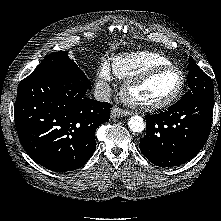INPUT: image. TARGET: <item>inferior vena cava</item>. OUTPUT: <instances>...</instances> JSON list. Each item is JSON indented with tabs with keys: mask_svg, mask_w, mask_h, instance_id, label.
Listing matches in <instances>:
<instances>
[{
	"mask_svg": "<svg viewBox=\"0 0 221 221\" xmlns=\"http://www.w3.org/2000/svg\"><path fill=\"white\" fill-rule=\"evenodd\" d=\"M111 88L107 83H101L94 90V97L97 101L107 102L110 100Z\"/></svg>",
	"mask_w": 221,
	"mask_h": 221,
	"instance_id": "602c4592",
	"label": "inferior vena cava"
}]
</instances>
